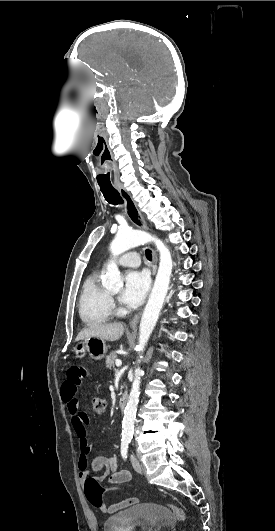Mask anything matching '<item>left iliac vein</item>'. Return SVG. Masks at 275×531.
I'll list each match as a JSON object with an SVG mask.
<instances>
[{
  "label": "left iliac vein",
  "instance_id": "left-iliac-vein-1",
  "mask_svg": "<svg viewBox=\"0 0 275 531\" xmlns=\"http://www.w3.org/2000/svg\"><path fill=\"white\" fill-rule=\"evenodd\" d=\"M130 459H131V463H132L133 468L138 473H142V468H141V464H140L139 460L133 455H130Z\"/></svg>",
  "mask_w": 275,
  "mask_h": 531
}]
</instances>
